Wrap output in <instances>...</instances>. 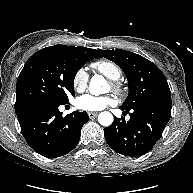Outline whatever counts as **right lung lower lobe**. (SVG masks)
Instances as JSON below:
<instances>
[{
    "label": "right lung lower lobe",
    "instance_id": "right-lung-lower-lobe-1",
    "mask_svg": "<svg viewBox=\"0 0 193 193\" xmlns=\"http://www.w3.org/2000/svg\"><path fill=\"white\" fill-rule=\"evenodd\" d=\"M60 103L47 101L17 114L22 134L29 146L44 157H59L78 144L86 112L74 111L62 117Z\"/></svg>",
    "mask_w": 193,
    "mask_h": 193
}]
</instances>
